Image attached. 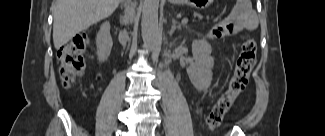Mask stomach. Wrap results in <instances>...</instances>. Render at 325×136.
Returning <instances> with one entry per match:
<instances>
[{"mask_svg":"<svg viewBox=\"0 0 325 136\" xmlns=\"http://www.w3.org/2000/svg\"><path fill=\"white\" fill-rule=\"evenodd\" d=\"M174 4H185L194 8L204 9L208 7L213 0H170Z\"/></svg>","mask_w":325,"mask_h":136,"instance_id":"1","label":"stomach"}]
</instances>
